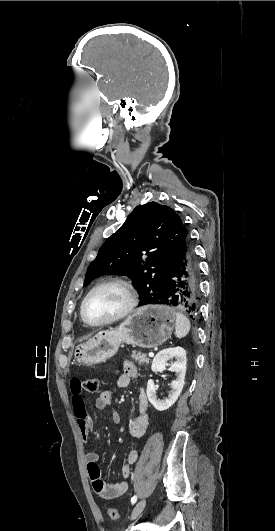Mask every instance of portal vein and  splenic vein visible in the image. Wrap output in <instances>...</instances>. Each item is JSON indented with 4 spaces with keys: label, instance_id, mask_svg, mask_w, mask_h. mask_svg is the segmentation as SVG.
<instances>
[{
    "label": "portal vein and splenic vein",
    "instance_id": "18ae733b",
    "mask_svg": "<svg viewBox=\"0 0 275 531\" xmlns=\"http://www.w3.org/2000/svg\"><path fill=\"white\" fill-rule=\"evenodd\" d=\"M149 357H154V353H149Z\"/></svg>",
    "mask_w": 275,
    "mask_h": 531
}]
</instances>
